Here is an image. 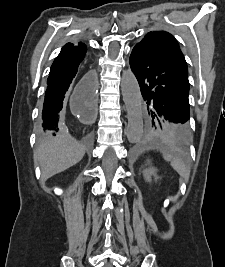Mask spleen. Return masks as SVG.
<instances>
[{
	"label": "spleen",
	"instance_id": "3e777b00",
	"mask_svg": "<svg viewBox=\"0 0 225 267\" xmlns=\"http://www.w3.org/2000/svg\"><path fill=\"white\" fill-rule=\"evenodd\" d=\"M164 160L171 163L172 168L184 179L188 180L190 176V168L185 164L183 160L178 157H174L172 154L166 151H162Z\"/></svg>",
	"mask_w": 225,
	"mask_h": 267
}]
</instances>
